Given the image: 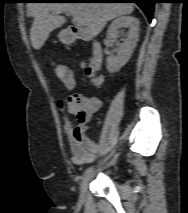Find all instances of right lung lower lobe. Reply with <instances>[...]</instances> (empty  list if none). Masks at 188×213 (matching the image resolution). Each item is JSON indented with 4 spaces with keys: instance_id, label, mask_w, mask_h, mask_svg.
Masks as SVG:
<instances>
[{
    "instance_id": "obj_1",
    "label": "right lung lower lobe",
    "mask_w": 188,
    "mask_h": 213,
    "mask_svg": "<svg viewBox=\"0 0 188 213\" xmlns=\"http://www.w3.org/2000/svg\"><path fill=\"white\" fill-rule=\"evenodd\" d=\"M98 1H127V3H136L145 13L148 20L153 18L154 4L156 0H98Z\"/></svg>"
}]
</instances>
